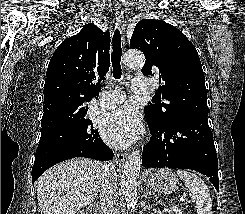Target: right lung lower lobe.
I'll use <instances>...</instances> for the list:
<instances>
[{
  "label": "right lung lower lobe",
  "instance_id": "98d812e1",
  "mask_svg": "<svg viewBox=\"0 0 245 214\" xmlns=\"http://www.w3.org/2000/svg\"><path fill=\"white\" fill-rule=\"evenodd\" d=\"M94 131V130H93ZM95 138L85 147L74 145L69 140L40 141L32 168V183L51 166L74 157H87L106 161L113 158L112 150L94 131Z\"/></svg>",
  "mask_w": 245,
  "mask_h": 214
}]
</instances>
